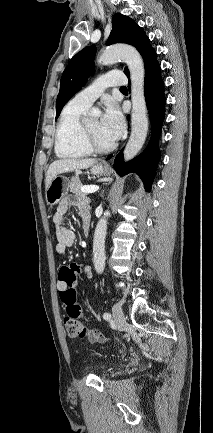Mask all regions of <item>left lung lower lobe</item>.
Wrapping results in <instances>:
<instances>
[{"mask_svg": "<svg viewBox=\"0 0 213 433\" xmlns=\"http://www.w3.org/2000/svg\"><path fill=\"white\" fill-rule=\"evenodd\" d=\"M143 60L145 66L144 94L151 120V139L143 153L127 164L123 163L122 149L115 157L114 169L120 176L131 172L138 174L143 180L146 191H150L160 159L158 139L164 121L166 98L155 50L152 48L148 51Z\"/></svg>", "mask_w": 213, "mask_h": 433, "instance_id": "1", "label": "left lung lower lobe"}]
</instances>
